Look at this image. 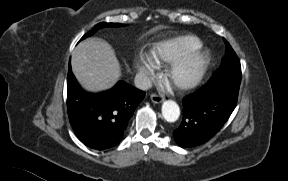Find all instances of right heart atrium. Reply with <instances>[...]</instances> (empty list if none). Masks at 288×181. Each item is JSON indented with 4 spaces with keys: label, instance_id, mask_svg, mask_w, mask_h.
I'll use <instances>...</instances> for the list:
<instances>
[{
    "label": "right heart atrium",
    "instance_id": "right-heart-atrium-1",
    "mask_svg": "<svg viewBox=\"0 0 288 181\" xmlns=\"http://www.w3.org/2000/svg\"><path fill=\"white\" fill-rule=\"evenodd\" d=\"M156 68L155 62L152 58L148 57L145 60L136 63L137 71L142 75H147Z\"/></svg>",
    "mask_w": 288,
    "mask_h": 181
}]
</instances>
